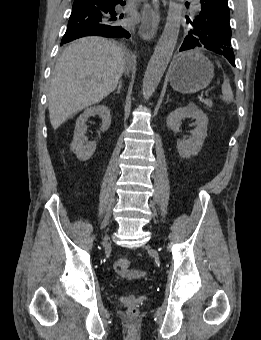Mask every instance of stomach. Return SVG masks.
I'll return each mask as SVG.
<instances>
[{
  "label": "stomach",
  "mask_w": 261,
  "mask_h": 340,
  "mask_svg": "<svg viewBox=\"0 0 261 340\" xmlns=\"http://www.w3.org/2000/svg\"><path fill=\"white\" fill-rule=\"evenodd\" d=\"M171 87L183 94L206 88L214 77L212 63L202 54L190 51L179 55L169 71Z\"/></svg>",
  "instance_id": "1"
}]
</instances>
